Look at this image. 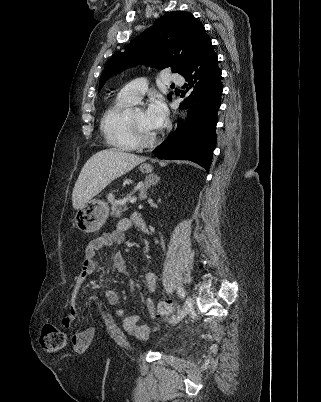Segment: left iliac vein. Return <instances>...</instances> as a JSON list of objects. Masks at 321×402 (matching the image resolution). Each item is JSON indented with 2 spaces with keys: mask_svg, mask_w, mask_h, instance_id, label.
Returning a JSON list of instances; mask_svg holds the SVG:
<instances>
[{
  "mask_svg": "<svg viewBox=\"0 0 321 402\" xmlns=\"http://www.w3.org/2000/svg\"><path fill=\"white\" fill-rule=\"evenodd\" d=\"M193 305H194L193 298L191 296H187L183 308L179 312V315L177 316V318L172 319L170 323L175 324L181 319H183L193 309Z\"/></svg>",
  "mask_w": 321,
  "mask_h": 402,
  "instance_id": "obj_1",
  "label": "left iliac vein"
}]
</instances>
